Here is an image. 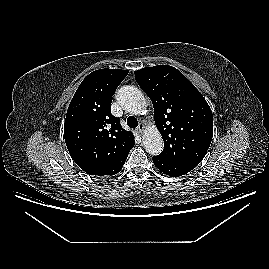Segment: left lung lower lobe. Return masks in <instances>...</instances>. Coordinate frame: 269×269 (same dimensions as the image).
<instances>
[{"instance_id":"obj_1","label":"left lung lower lobe","mask_w":269,"mask_h":269,"mask_svg":"<svg viewBox=\"0 0 269 269\" xmlns=\"http://www.w3.org/2000/svg\"><path fill=\"white\" fill-rule=\"evenodd\" d=\"M153 162L155 166L163 173L171 177H179L184 174H187L193 170L197 165L190 163H178L168 159L163 158L162 156H154Z\"/></svg>"}]
</instances>
